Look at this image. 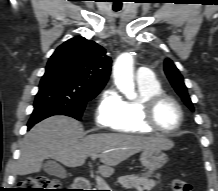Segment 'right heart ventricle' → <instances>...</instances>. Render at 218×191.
I'll use <instances>...</instances> for the list:
<instances>
[{
	"instance_id": "e07e8e85",
	"label": "right heart ventricle",
	"mask_w": 218,
	"mask_h": 191,
	"mask_svg": "<svg viewBox=\"0 0 218 191\" xmlns=\"http://www.w3.org/2000/svg\"><path fill=\"white\" fill-rule=\"evenodd\" d=\"M139 96L135 100H122L121 108L112 128L121 133L145 135L153 132L142 120V101L144 98L162 92L157 80L137 82Z\"/></svg>"
}]
</instances>
